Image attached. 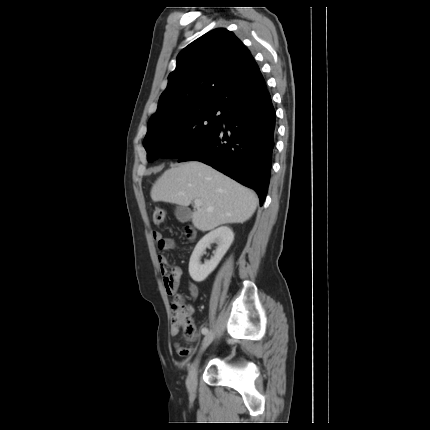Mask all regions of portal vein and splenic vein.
<instances>
[{"mask_svg": "<svg viewBox=\"0 0 430 430\" xmlns=\"http://www.w3.org/2000/svg\"><path fill=\"white\" fill-rule=\"evenodd\" d=\"M194 204H195V207H197V208H199L200 206H202V200H200V199H195L194 200Z\"/></svg>", "mask_w": 430, "mask_h": 430, "instance_id": "portal-vein-and-splenic-vein-1", "label": "portal vein and splenic vein"}]
</instances>
